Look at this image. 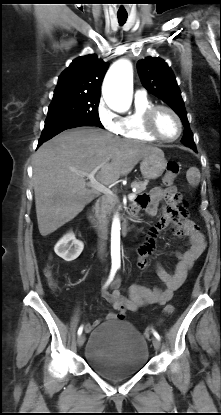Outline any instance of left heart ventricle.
Here are the masks:
<instances>
[{"label": "left heart ventricle", "mask_w": 221, "mask_h": 415, "mask_svg": "<svg viewBox=\"0 0 221 415\" xmlns=\"http://www.w3.org/2000/svg\"><path fill=\"white\" fill-rule=\"evenodd\" d=\"M156 128L161 135L173 138L178 133V123L168 111L161 110L156 116Z\"/></svg>", "instance_id": "left-heart-ventricle-1"}]
</instances>
